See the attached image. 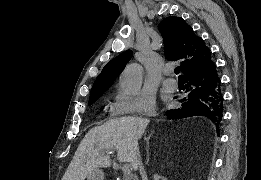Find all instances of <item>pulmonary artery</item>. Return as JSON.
Masks as SVG:
<instances>
[{
	"label": "pulmonary artery",
	"mask_w": 261,
	"mask_h": 180,
	"mask_svg": "<svg viewBox=\"0 0 261 180\" xmlns=\"http://www.w3.org/2000/svg\"><path fill=\"white\" fill-rule=\"evenodd\" d=\"M164 74L168 77L164 80L163 86L169 90L177 88V81L173 78V69H164Z\"/></svg>",
	"instance_id": "pulmonary-artery-1"
}]
</instances>
